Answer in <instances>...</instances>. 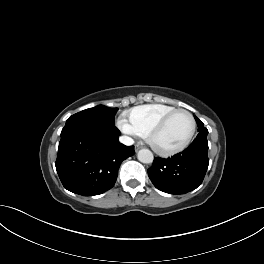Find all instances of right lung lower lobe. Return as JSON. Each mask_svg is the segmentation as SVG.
I'll return each mask as SVG.
<instances>
[{"mask_svg":"<svg viewBox=\"0 0 264 264\" xmlns=\"http://www.w3.org/2000/svg\"><path fill=\"white\" fill-rule=\"evenodd\" d=\"M120 134L115 126L66 124L55 163L63 186L83 196L99 195L111 189L122 161L135 154L134 146L118 141Z\"/></svg>","mask_w":264,"mask_h":264,"instance_id":"98d812e1","label":"right lung lower lobe"}]
</instances>
